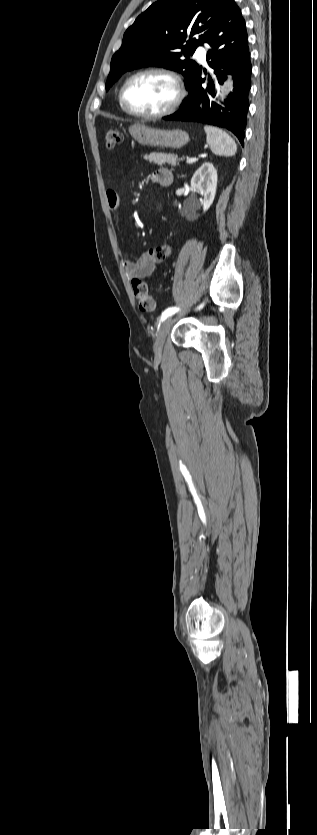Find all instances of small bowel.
Listing matches in <instances>:
<instances>
[{
	"label": "small bowel",
	"mask_w": 317,
	"mask_h": 835,
	"mask_svg": "<svg viewBox=\"0 0 317 835\" xmlns=\"http://www.w3.org/2000/svg\"><path fill=\"white\" fill-rule=\"evenodd\" d=\"M151 179L154 183L160 186H168L174 180L173 173L164 167L156 169L151 174ZM106 200L108 208L112 212L119 210L120 201L118 193L115 190L109 189L106 192ZM158 261L155 260L147 251L143 253L138 259L124 260V267L130 279H143L151 276L156 270Z\"/></svg>",
	"instance_id": "c3829d8e"
}]
</instances>
